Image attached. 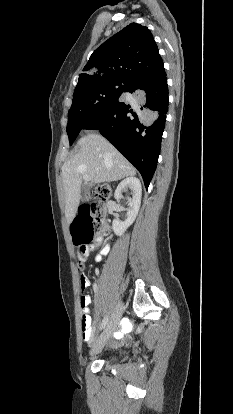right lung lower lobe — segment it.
Here are the masks:
<instances>
[{"label": "right lung lower lobe", "mask_w": 233, "mask_h": 414, "mask_svg": "<svg viewBox=\"0 0 233 414\" xmlns=\"http://www.w3.org/2000/svg\"><path fill=\"white\" fill-rule=\"evenodd\" d=\"M125 92L138 96L137 105L119 99L90 119L83 129L98 130L107 138L139 170L148 187L156 169L168 111L165 70L132 80Z\"/></svg>", "instance_id": "right-lung-lower-lobe-1"}]
</instances>
